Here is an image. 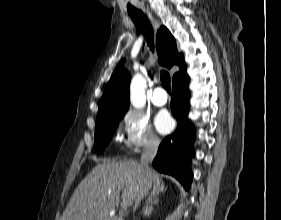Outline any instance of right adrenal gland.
<instances>
[{"label":"right adrenal gland","instance_id":"1","mask_svg":"<svg viewBox=\"0 0 281 220\" xmlns=\"http://www.w3.org/2000/svg\"><path fill=\"white\" fill-rule=\"evenodd\" d=\"M159 203V199L156 195H151L147 202L145 207L143 208V214L146 217H150V215L152 214L153 210H154V205H158Z\"/></svg>","mask_w":281,"mask_h":220}]
</instances>
